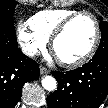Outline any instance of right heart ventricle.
I'll return each instance as SVG.
<instances>
[{"label": "right heart ventricle", "mask_w": 108, "mask_h": 108, "mask_svg": "<svg viewBox=\"0 0 108 108\" xmlns=\"http://www.w3.org/2000/svg\"><path fill=\"white\" fill-rule=\"evenodd\" d=\"M77 12L72 9H46L31 16L28 24L35 33L48 41L57 27Z\"/></svg>", "instance_id": "e07e8e85"}]
</instances>
